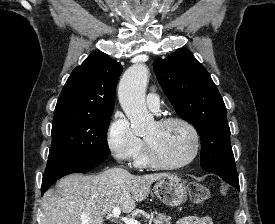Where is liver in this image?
<instances>
[{"instance_id":"obj_1","label":"liver","mask_w":275,"mask_h":224,"mask_svg":"<svg viewBox=\"0 0 275 224\" xmlns=\"http://www.w3.org/2000/svg\"><path fill=\"white\" fill-rule=\"evenodd\" d=\"M167 175L136 176L112 168L98 175L63 177L57 183V191L49 189L43 195L41 206L46 224H103L104 217L115 207L124 213L132 212L138 202L148 197L151 184ZM82 217L91 221L84 222Z\"/></svg>"}]
</instances>
